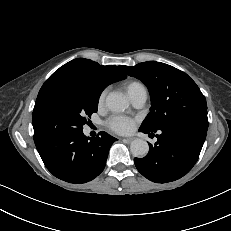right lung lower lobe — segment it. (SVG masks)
<instances>
[{
    "mask_svg": "<svg viewBox=\"0 0 231 231\" xmlns=\"http://www.w3.org/2000/svg\"><path fill=\"white\" fill-rule=\"evenodd\" d=\"M116 140L103 131L89 138L83 130L55 138H34L47 169L55 177L75 184L91 181L103 171Z\"/></svg>",
    "mask_w": 231,
    "mask_h": 231,
    "instance_id": "1",
    "label": "right lung lower lobe"
}]
</instances>
